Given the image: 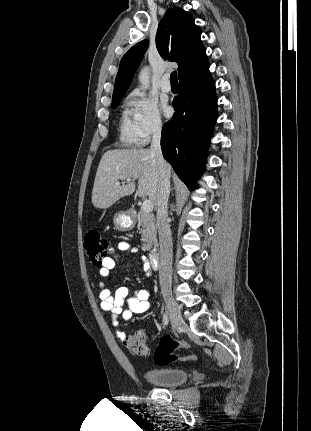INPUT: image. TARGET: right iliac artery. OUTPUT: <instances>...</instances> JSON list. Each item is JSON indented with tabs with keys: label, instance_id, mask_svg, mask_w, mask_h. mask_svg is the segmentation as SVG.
<instances>
[{
	"label": "right iliac artery",
	"instance_id": "82829eb1",
	"mask_svg": "<svg viewBox=\"0 0 311 431\" xmlns=\"http://www.w3.org/2000/svg\"><path fill=\"white\" fill-rule=\"evenodd\" d=\"M163 322L165 325H168V323H169V317H168L167 313H164V315H163Z\"/></svg>",
	"mask_w": 311,
	"mask_h": 431
}]
</instances>
